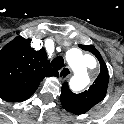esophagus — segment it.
Listing matches in <instances>:
<instances>
[{
	"instance_id": "1",
	"label": "esophagus",
	"mask_w": 124,
	"mask_h": 124,
	"mask_svg": "<svg viewBox=\"0 0 124 124\" xmlns=\"http://www.w3.org/2000/svg\"><path fill=\"white\" fill-rule=\"evenodd\" d=\"M71 73V69L68 66H65L59 71V78L65 80L71 75Z\"/></svg>"
}]
</instances>
